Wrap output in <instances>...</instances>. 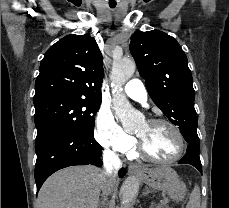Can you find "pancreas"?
Masks as SVG:
<instances>
[{
    "instance_id": "obj_1",
    "label": "pancreas",
    "mask_w": 229,
    "mask_h": 208,
    "mask_svg": "<svg viewBox=\"0 0 229 208\" xmlns=\"http://www.w3.org/2000/svg\"><path fill=\"white\" fill-rule=\"evenodd\" d=\"M168 200H162L161 204H158V206H156V208H164V206H166Z\"/></svg>"
}]
</instances>
